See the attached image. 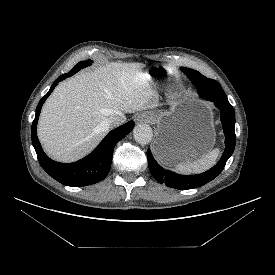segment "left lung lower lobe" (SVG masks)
Here are the masks:
<instances>
[{"label":"left lung lower lobe","mask_w":275,"mask_h":275,"mask_svg":"<svg viewBox=\"0 0 275 275\" xmlns=\"http://www.w3.org/2000/svg\"><path fill=\"white\" fill-rule=\"evenodd\" d=\"M188 78L194 85L196 84V86H203L210 91L212 90L211 93H205L201 97L214 102L215 106L218 107L221 111V122L225 134V151L219 162L208 171L198 175H179L162 168L153 158L150 149H148V165L154 179L161 184H165L168 187L179 190H187L202 186L217 177L225 167L229 157L232 155L236 143L235 114L233 107L229 103L227 97L222 96L216 92L213 83L214 80L212 79H208L205 76L197 77L189 75ZM209 90L206 91L210 92Z\"/></svg>","instance_id":"obj_1"}]
</instances>
